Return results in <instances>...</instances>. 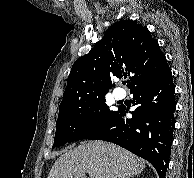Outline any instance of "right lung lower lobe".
Masks as SVG:
<instances>
[{
	"mask_svg": "<svg viewBox=\"0 0 194 178\" xmlns=\"http://www.w3.org/2000/svg\"><path fill=\"white\" fill-rule=\"evenodd\" d=\"M135 111L125 119L127 109L119 107L86 139L113 142L149 161L159 178H164L170 158L175 126V86L171 70L160 79L131 91Z\"/></svg>",
	"mask_w": 194,
	"mask_h": 178,
	"instance_id": "obj_1",
	"label": "right lung lower lobe"
}]
</instances>
